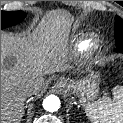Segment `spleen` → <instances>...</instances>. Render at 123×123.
I'll return each instance as SVG.
<instances>
[{
	"instance_id": "obj_1",
	"label": "spleen",
	"mask_w": 123,
	"mask_h": 123,
	"mask_svg": "<svg viewBox=\"0 0 123 123\" xmlns=\"http://www.w3.org/2000/svg\"><path fill=\"white\" fill-rule=\"evenodd\" d=\"M86 114L92 123H123V87L113 90V99L106 94L95 102L88 103Z\"/></svg>"
}]
</instances>
